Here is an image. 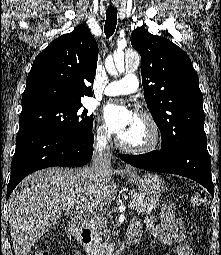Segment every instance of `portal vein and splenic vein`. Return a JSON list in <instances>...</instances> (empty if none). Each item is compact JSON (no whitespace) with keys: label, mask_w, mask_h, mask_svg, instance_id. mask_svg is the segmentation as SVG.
<instances>
[{"label":"portal vein and splenic vein","mask_w":221,"mask_h":255,"mask_svg":"<svg viewBox=\"0 0 221 255\" xmlns=\"http://www.w3.org/2000/svg\"><path fill=\"white\" fill-rule=\"evenodd\" d=\"M134 206H135L134 203H130V204L128 205V208H129V209H132V208H134ZM73 207H74V206H73ZM75 208H76V209H78V208H84V205H83V204L75 205ZM90 208H92V207H90Z\"/></svg>","instance_id":"18ae733b"}]
</instances>
